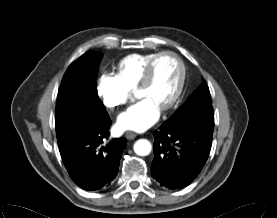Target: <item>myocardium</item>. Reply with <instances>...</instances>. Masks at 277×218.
Segmentation results:
<instances>
[{
  "instance_id": "f54148a6",
  "label": "myocardium",
  "mask_w": 277,
  "mask_h": 218,
  "mask_svg": "<svg viewBox=\"0 0 277 218\" xmlns=\"http://www.w3.org/2000/svg\"><path fill=\"white\" fill-rule=\"evenodd\" d=\"M164 56H170V57L174 58L180 68V78H179L178 85H177L173 95L168 99V101L165 104H163L161 106L162 110H167V109L171 108L179 100V98L181 97V95L183 93L185 83H186L187 68H186L184 60L182 59V57L179 54H177L173 51H162V52L157 53L148 63V65L145 69L144 75L137 86V91L141 88L147 87L150 84L152 77H153L154 67H155L157 61Z\"/></svg>"
}]
</instances>
